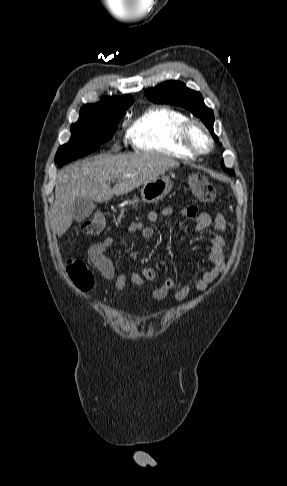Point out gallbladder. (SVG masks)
<instances>
[{"label": "gallbladder", "instance_id": "gallbladder-1", "mask_svg": "<svg viewBox=\"0 0 287 486\" xmlns=\"http://www.w3.org/2000/svg\"><path fill=\"white\" fill-rule=\"evenodd\" d=\"M95 208V202L89 197H77L73 203V219L77 222L84 221Z\"/></svg>", "mask_w": 287, "mask_h": 486}]
</instances>
